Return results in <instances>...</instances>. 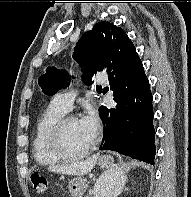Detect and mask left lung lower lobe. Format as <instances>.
<instances>
[{
	"instance_id": "left-lung-lower-lobe-1",
	"label": "left lung lower lobe",
	"mask_w": 191,
	"mask_h": 197,
	"mask_svg": "<svg viewBox=\"0 0 191 197\" xmlns=\"http://www.w3.org/2000/svg\"><path fill=\"white\" fill-rule=\"evenodd\" d=\"M116 76L110 79L116 109L100 108L106 124L101 150L117 151L153 165L156 155L153 97L143 65L134 71L116 72Z\"/></svg>"
}]
</instances>
